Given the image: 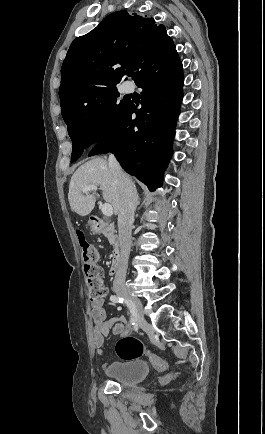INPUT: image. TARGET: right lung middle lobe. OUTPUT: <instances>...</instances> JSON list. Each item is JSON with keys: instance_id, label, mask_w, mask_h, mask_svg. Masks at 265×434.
I'll return each instance as SVG.
<instances>
[{"instance_id": "dd1d6c3e", "label": "right lung middle lobe", "mask_w": 265, "mask_h": 434, "mask_svg": "<svg viewBox=\"0 0 265 434\" xmlns=\"http://www.w3.org/2000/svg\"><path fill=\"white\" fill-rule=\"evenodd\" d=\"M118 83L107 82L60 100L73 145L71 162L76 161L85 148L108 135L124 118L131 101L118 99Z\"/></svg>"}]
</instances>
